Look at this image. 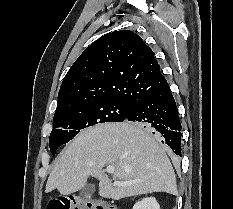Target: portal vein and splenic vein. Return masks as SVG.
I'll return each mask as SVG.
<instances>
[{
    "label": "portal vein and splenic vein",
    "instance_id": "obj_1",
    "mask_svg": "<svg viewBox=\"0 0 233 209\" xmlns=\"http://www.w3.org/2000/svg\"><path fill=\"white\" fill-rule=\"evenodd\" d=\"M106 171L111 174V173L114 172V167L113 166H107ZM124 184L125 183H123V182L114 181V185H116V186H122Z\"/></svg>",
    "mask_w": 233,
    "mask_h": 209
}]
</instances>
